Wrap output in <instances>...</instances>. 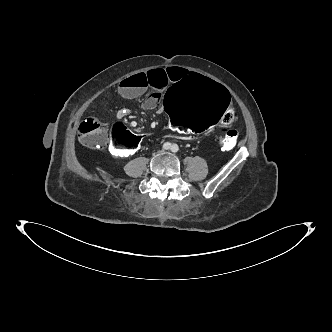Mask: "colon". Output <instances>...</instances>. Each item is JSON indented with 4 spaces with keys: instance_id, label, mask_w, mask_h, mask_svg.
I'll list each match as a JSON object with an SVG mask.
<instances>
[{
    "instance_id": "colon-1",
    "label": "colon",
    "mask_w": 332,
    "mask_h": 332,
    "mask_svg": "<svg viewBox=\"0 0 332 332\" xmlns=\"http://www.w3.org/2000/svg\"><path fill=\"white\" fill-rule=\"evenodd\" d=\"M164 107L171 125L186 134L203 133L219 127L220 143L232 149L238 141L234 129L239 110L234 96L222 84L200 74H190L172 85L165 94ZM80 142L88 147H100L108 155L132 157L141 147V138L122 123H113L106 130L100 122L88 117L78 129Z\"/></svg>"
}]
</instances>
